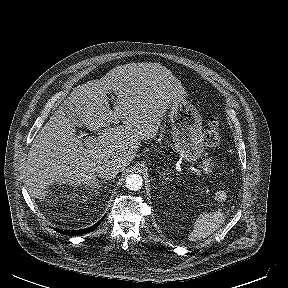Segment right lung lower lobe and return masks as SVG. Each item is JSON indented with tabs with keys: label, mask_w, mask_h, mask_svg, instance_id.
Listing matches in <instances>:
<instances>
[{
	"label": "right lung lower lobe",
	"mask_w": 288,
	"mask_h": 288,
	"mask_svg": "<svg viewBox=\"0 0 288 288\" xmlns=\"http://www.w3.org/2000/svg\"><path fill=\"white\" fill-rule=\"evenodd\" d=\"M101 220L89 228H85V229H81V230H71V231L70 230H66V231L59 230V232L62 234H65V235H69V234L70 235H75V234L81 235V234L89 233V232L94 231L99 226Z\"/></svg>",
	"instance_id": "98d812e1"
}]
</instances>
